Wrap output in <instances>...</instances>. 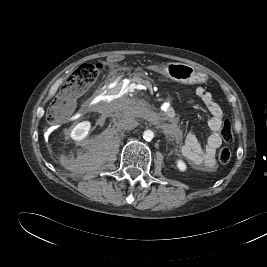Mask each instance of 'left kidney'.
Segmentation results:
<instances>
[{
  "instance_id": "5707ae66",
  "label": "left kidney",
  "mask_w": 267,
  "mask_h": 267,
  "mask_svg": "<svg viewBox=\"0 0 267 267\" xmlns=\"http://www.w3.org/2000/svg\"><path fill=\"white\" fill-rule=\"evenodd\" d=\"M176 165H177V168L182 172L186 171V169H187L186 163L184 161H182V160H177Z\"/></svg>"
}]
</instances>
